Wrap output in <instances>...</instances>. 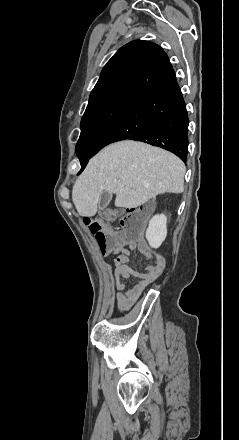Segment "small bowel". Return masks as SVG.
I'll return each instance as SVG.
<instances>
[{"mask_svg": "<svg viewBox=\"0 0 239 440\" xmlns=\"http://www.w3.org/2000/svg\"><path fill=\"white\" fill-rule=\"evenodd\" d=\"M138 250L148 262L143 272L134 270L130 265L132 251ZM116 288L119 291L117 300L122 309L132 305L143 290L162 273L165 267L164 258L150 250L144 243H131L128 248L119 251L115 259ZM136 277L138 280L128 284L126 280Z\"/></svg>", "mask_w": 239, "mask_h": 440, "instance_id": "1", "label": "small bowel"}]
</instances>
